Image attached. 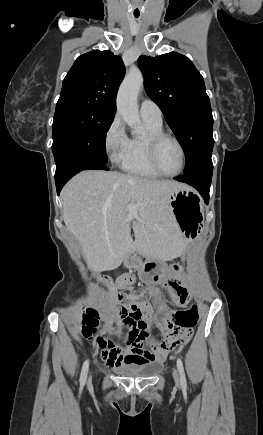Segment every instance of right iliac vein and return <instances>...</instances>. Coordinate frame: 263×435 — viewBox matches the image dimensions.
Wrapping results in <instances>:
<instances>
[{
  "mask_svg": "<svg viewBox=\"0 0 263 435\" xmlns=\"http://www.w3.org/2000/svg\"><path fill=\"white\" fill-rule=\"evenodd\" d=\"M91 380V375L89 376V381Z\"/></svg>",
  "mask_w": 263,
  "mask_h": 435,
  "instance_id": "obj_1",
  "label": "right iliac vein"
}]
</instances>
